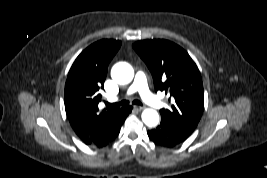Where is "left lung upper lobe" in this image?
<instances>
[{
	"label": "left lung upper lobe",
	"instance_id": "5c2ea615",
	"mask_svg": "<svg viewBox=\"0 0 267 178\" xmlns=\"http://www.w3.org/2000/svg\"><path fill=\"white\" fill-rule=\"evenodd\" d=\"M133 48L151 71L155 91L169 92L170 109H161V121L169 122L189 137L204 110V90L198 67L189 54L168 40H142ZM170 101V99H169Z\"/></svg>",
	"mask_w": 267,
	"mask_h": 178
}]
</instances>
